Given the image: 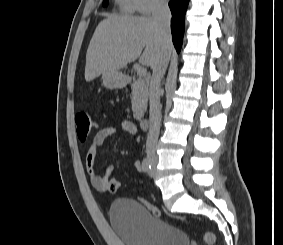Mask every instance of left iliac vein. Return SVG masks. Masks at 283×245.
Here are the masks:
<instances>
[{"label":"left iliac vein","mask_w":283,"mask_h":245,"mask_svg":"<svg viewBox=\"0 0 283 245\" xmlns=\"http://www.w3.org/2000/svg\"><path fill=\"white\" fill-rule=\"evenodd\" d=\"M154 174H155V173H154V170H153V171L151 172V175L154 176Z\"/></svg>","instance_id":"obj_1"}]
</instances>
